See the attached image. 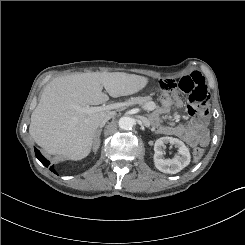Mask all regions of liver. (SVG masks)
I'll return each mask as SVG.
<instances>
[{
  "label": "liver",
  "instance_id": "6515ba94",
  "mask_svg": "<svg viewBox=\"0 0 245 245\" xmlns=\"http://www.w3.org/2000/svg\"><path fill=\"white\" fill-rule=\"evenodd\" d=\"M144 76L124 72L76 73L46 85L31 114L29 133L49 154L72 160L85 158L94 145L97 128L109 109L84 113L75 106L100 105L111 97L132 95L148 84Z\"/></svg>",
  "mask_w": 245,
  "mask_h": 245
}]
</instances>
